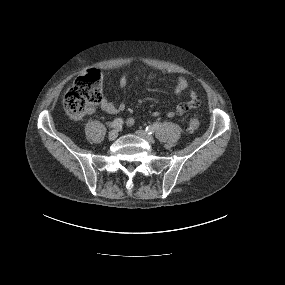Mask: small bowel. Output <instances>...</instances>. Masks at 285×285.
Returning a JSON list of instances; mask_svg holds the SVG:
<instances>
[{"label":"small bowel","instance_id":"small-bowel-1","mask_svg":"<svg viewBox=\"0 0 285 285\" xmlns=\"http://www.w3.org/2000/svg\"><path fill=\"white\" fill-rule=\"evenodd\" d=\"M128 74L127 72H123L119 78V87L125 88L128 84ZM188 91V100L186 102L180 103L177 105L173 110H168L166 112L167 117L173 118V117H179L186 114L188 111L193 110L197 108L200 104V99L198 93L189 86L188 80L184 76H179L177 78L176 86L174 89V93L176 95H181L184 92ZM100 108L103 112L110 114V115H117L125 110L126 103L120 102L115 103L113 101L108 100L106 97L101 99L100 101ZM159 111L155 110L152 112L153 116H159ZM127 124L129 126L134 124V119L129 118L127 120Z\"/></svg>","mask_w":285,"mask_h":285}]
</instances>
